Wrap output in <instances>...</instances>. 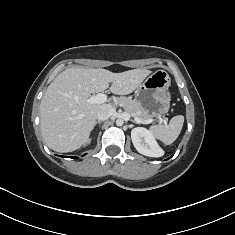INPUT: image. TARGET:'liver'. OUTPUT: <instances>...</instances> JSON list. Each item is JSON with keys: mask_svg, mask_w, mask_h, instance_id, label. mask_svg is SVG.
<instances>
[{"mask_svg": "<svg viewBox=\"0 0 235 235\" xmlns=\"http://www.w3.org/2000/svg\"><path fill=\"white\" fill-rule=\"evenodd\" d=\"M150 73L147 69L113 73L101 68L72 67L58 74L46 89L39 108L47 146L61 153L79 149L95 126L99 108L110 106L89 104L91 94L108 89L109 83L113 94H130Z\"/></svg>", "mask_w": 235, "mask_h": 235, "instance_id": "obj_1", "label": "liver"}]
</instances>
